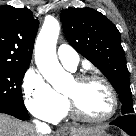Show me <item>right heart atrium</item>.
Segmentation results:
<instances>
[{
  "instance_id": "obj_1",
  "label": "right heart atrium",
  "mask_w": 136,
  "mask_h": 136,
  "mask_svg": "<svg viewBox=\"0 0 136 136\" xmlns=\"http://www.w3.org/2000/svg\"><path fill=\"white\" fill-rule=\"evenodd\" d=\"M26 108L36 117L56 121L64 113L66 101L35 69H29L22 82Z\"/></svg>"
}]
</instances>
